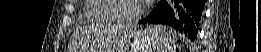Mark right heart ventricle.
Returning <instances> with one entry per match:
<instances>
[{
  "mask_svg": "<svg viewBox=\"0 0 261 52\" xmlns=\"http://www.w3.org/2000/svg\"><path fill=\"white\" fill-rule=\"evenodd\" d=\"M113 0H87L84 15L88 22L94 24H114L118 20L112 10Z\"/></svg>",
  "mask_w": 261,
  "mask_h": 52,
  "instance_id": "right-heart-ventricle-1",
  "label": "right heart ventricle"
}]
</instances>
